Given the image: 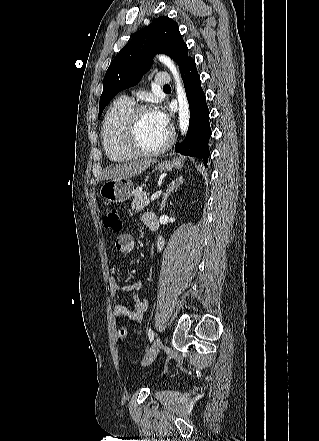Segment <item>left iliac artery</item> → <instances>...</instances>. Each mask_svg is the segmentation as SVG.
I'll return each mask as SVG.
<instances>
[{"label":"left iliac artery","mask_w":319,"mask_h":441,"mask_svg":"<svg viewBox=\"0 0 319 441\" xmlns=\"http://www.w3.org/2000/svg\"><path fill=\"white\" fill-rule=\"evenodd\" d=\"M148 337L149 340L152 342V340L154 339V332L151 328L148 329Z\"/></svg>","instance_id":"left-iliac-artery-1"}]
</instances>
